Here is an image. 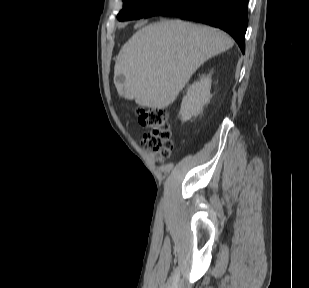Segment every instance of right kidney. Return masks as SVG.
<instances>
[{"mask_svg": "<svg viewBox=\"0 0 309 288\" xmlns=\"http://www.w3.org/2000/svg\"><path fill=\"white\" fill-rule=\"evenodd\" d=\"M211 77L202 76L199 81L188 87L183 97L180 115L182 121H188L202 112L203 106L210 100Z\"/></svg>", "mask_w": 309, "mask_h": 288, "instance_id": "ca27d5eb", "label": "right kidney"}]
</instances>
